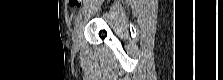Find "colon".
<instances>
[{
    "label": "colon",
    "instance_id": "5ec220e1",
    "mask_svg": "<svg viewBox=\"0 0 223 80\" xmlns=\"http://www.w3.org/2000/svg\"><path fill=\"white\" fill-rule=\"evenodd\" d=\"M83 3V0H69V5L71 7H80Z\"/></svg>",
    "mask_w": 223,
    "mask_h": 80
}]
</instances>
